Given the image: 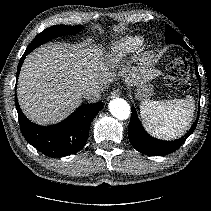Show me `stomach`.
<instances>
[{
  "label": "stomach",
  "instance_id": "stomach-1",
  "mask_svg": "<svg viewBox=\"0 0 211 211\" xmlns=\"http://www.w3.org/2000/svg\"><path fill=\"white\" fill-rule=\"evenodd\" d=\"M150 77H151V73L149 72V70H145L142 73V76L136 81L135 85H136V97L139 99L142 98H147L149 97L152 92H153V88L152 85L150 84Z\"/></svg>",
  "mask_w": 211,
  "mask_h": 211
}]
</instances>
